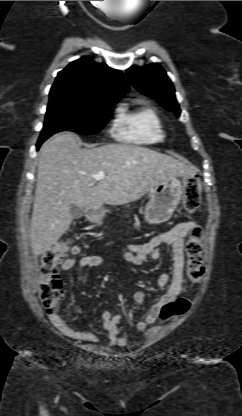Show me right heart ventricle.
<instances>
[{
    "instance_id": "obj_1",
    "label": "right heart ventricle",
    "mask_w": 242,
    "mask_h": 416,
    "mask_svg": "<svg viewBox=\"0 0 242 416\" xmlns=\"http://www.w3.org/2000/svg\"><path fill=\"white\" fill-rule=\"evenodd\" d=\"M117 123L120 136L137 144H153L164 140L163 123L157 111L148 105L131 108L122 104L118 108Z\"/></svg>"
}]
</instances>
